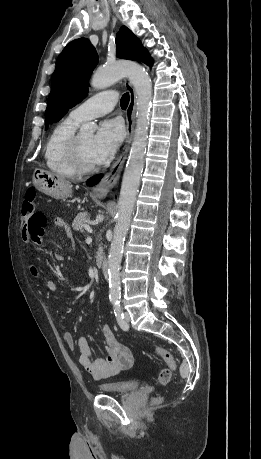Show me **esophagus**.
Instances as JSON below:
<instances>
[{"instance_id": "esophagus-1", "label": "esophagus", "mask_w": 261, "mask_h": 459, "mask_svg": "<svg viewBox=\"0 0 261 459\" xmlns=\"http://www.w3.org/2000/svg\"><path fill=\"white\" fill-rule=\"evenodd\" d=\"M125 86L129 92L130 100L126 110V131L127 136L125 140V144L122 148V151L117 158V160L113 163L110 170L105 173L103 178L100 182L92 189V193L97 197H106L108 193L114 188L116 185L120 172L123 168L125 163L127 153L130 148V144L133 139L134 135V126H135V110H136V92L133 86L129 81H125Z\"/></svg>"}]
</instances>
